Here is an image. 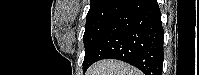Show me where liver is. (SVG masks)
Masks as SVG:
<instances>
[{"instance_id":"1","label":"liver","mask_w":199,"mask_h":75,"mask_svg":"<svg viewBox=\"0 0 199 75\" xmlns=\"http://www.w3.org/2000/svg\"><path fill=\"white\" fill-rule=\"evenodd\" d=\"M86 75H142V72L122 61L102 60L93 64Z\"/></svg>"}]
</instances>
